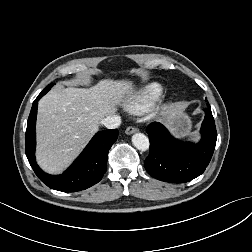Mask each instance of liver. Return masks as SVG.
Returning a JSON list of instances; mask_svg holds the SVG:
<instances>
[{
    "instance_id": "6515ba94",
    "label": "liver",
    "mask_w": 252,
    "mask_h": 252,
    "mask_svg": "<svg viewBox=\"0 0 252 252\" xmlns=\"http://www.w3.org/2000/svg\"><path fill=\"white\" fill-rule=\"evenodd\" d=\"M129 80L103 79L89 88H58L39 102L36 158L51 174L61 173L79 155L100 122L133 96Z\"/></svg>"
}]
</instances>
